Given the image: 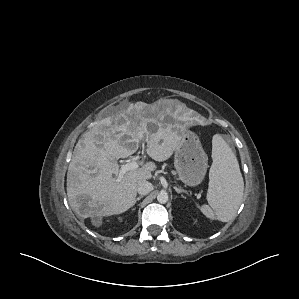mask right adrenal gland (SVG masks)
Segmentation results:
<instances>
[{
	"label": "right adrenal gland",
	"mask_w": 299,
	"mask_h": 299,
	"mask_svg": "<svg viewBox=\"0 0 299 299\" xmlns=\"http://www.w3.org/2000/svg\"><path fill=\"white\" fill-rule=\"evenodd\" d=\"M141 198H143V195H140L139 197H137V198L135 199V201H134V204H135L137 201H139Z\"/></svg>",
	"instance_id": "obj_1"
}]
</instances>
